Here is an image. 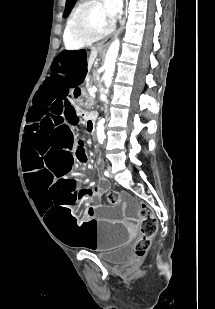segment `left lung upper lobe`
I'll return each mask as SVG.
<instances>
[{
	"mask_svg": "<svg viewBox=\"0 0 215 309\" xmlns=\"http://www.w3.org/2000/svg\"><path fill=\"white\" fill-rule=\"evenodd\" d=\"M74 1L75 0H67L64 17H66L68 15L69 11L72 8Z\"/></svg>",
	"mask_w": 215,
	"mask_h": 309,
	"instance_id": "left-lung-upper-lobe-1",
	"label": "left lung upper lobe"
}]
</instances>
